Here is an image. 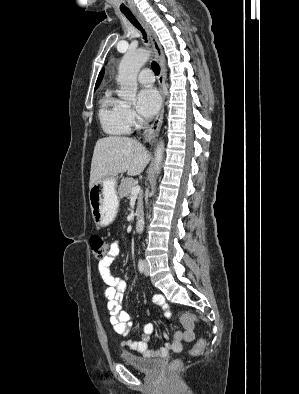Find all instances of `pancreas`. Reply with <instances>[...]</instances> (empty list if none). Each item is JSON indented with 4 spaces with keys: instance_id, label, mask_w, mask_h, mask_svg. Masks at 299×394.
Returning <instances> with one entry per match:
<instances>
[{
    "instance_id": "1",
    "label": "pancreas",
    "mask_w": 299,
    "mask_h": 394,
    "mask_svg": "<svg viewBox=\"0 0 299 394\" xmlns=\"http://www.w3.org/2000/svg\"><path fill=\"white\" fill-rule=\"evenodd\" d=\"M137 182L132 178H125L121 181V184L118 188V195L120 198H124L129 196L131 188L136 186ZM143 208V195L142 193L138 196L137 201V216H139L142 212Z\"/></svg>"
}]
</instances>
